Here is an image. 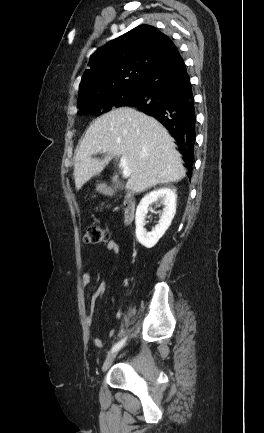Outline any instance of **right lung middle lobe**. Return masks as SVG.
Returning a JSON list of instances; mask_svg holds the SVG:
<instances>
[{
	"label": "right lung middle lobe",
	"mask_w": 264,
	"mask_h": 433,
	"mask_svg": "<svg viewBox=\"0 0 264 433\" xmlns=\"http://www.w3.org/2000/svg\"><path fill=\"white\" fill-rule=\"evenodd\" d=\"M140 89V85L123 86L100 96L78 100L77 107L81 114L99 116L113 108L122 106L125 101L136 96Z\"/></svg>",
	"instance_id": "dd1d6c3e"
}]
</instances>
